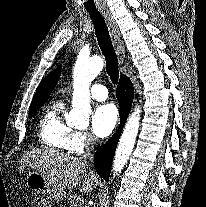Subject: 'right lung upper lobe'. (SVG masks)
I'll return each instance as SVG.
<instances>
[{
  "instance_id": "cb5924a9",
  "label": "right lung upper lobe",
  "mask_w": 206,
  "mask_h": 207,
  "mask_svg": "<svg viewBox=\"0 0 206 207\" xmlns=\"http://www.w3.org/2000/svg\"><path fill=\"white\" fill-rule=\"evenodd\" d=\"M60 74L61 66L56 68L42 81V83L37 88L36 94L34 95L29 109L42 106L48 100L49 95L59 80Z\"/></svg>"
}]
</instances>
